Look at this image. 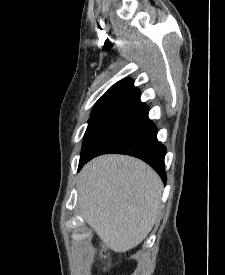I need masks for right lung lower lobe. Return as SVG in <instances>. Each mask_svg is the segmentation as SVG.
<instances>
[{
    "instance_id": "obj_1",
    "label": "right lung lower lobe",
    "mask_w": 225,
    "mask_h": 275,
    "mask_svg": "<svg viewBox=\"0 0 225 275\" xmlns=\"http://www.w3.org/2000/svg\"><path fill=\"white\" fill-rule=\"evenodd\" d=\"M148 108L126 117L114 127L81 163L105 153L127 154L138 157L155 169L166 182L164 157L166 148L157 140V128L148 118Z\"/></svg>"
}]
</instances>
